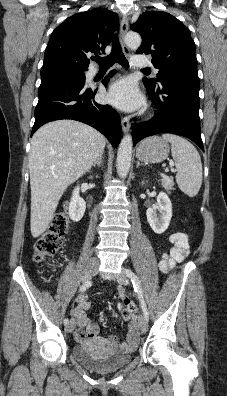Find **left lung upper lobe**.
I'll return each mask as SVG.
<instances>
[{"label": "left lung upper lobe", "instance_id": "1", "mask_svg": "<svg viewBox=\"0 0 227 396\" xmlns=\"http://www.w3.org/2000/svg\"><path fill=\"white\" fill-rule=\"evenodd\" d=\"M142 37L137 54H151L159 69L157 79L144 78L145 86L156 87L169 77L199 80L195 43L189 29L177 18L163 11H146L131 25Z\"/></svg>", "mask_w": 227, "mask_h": 396}]
</instances>
